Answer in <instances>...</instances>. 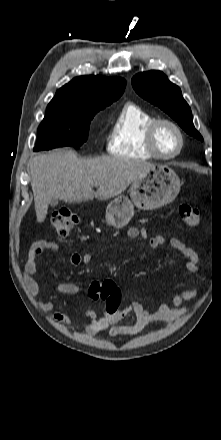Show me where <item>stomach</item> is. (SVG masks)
Wrapping results in <instances>:
<instances>
[{"instance_id": "stomach-1", "label": "stomach", "mask_w": 221, "mask_h": 440, "mask_svg": "<svg viewBox=\"0 0 221 440\" xmlns=\"http://www.w3.org/2000/svg\"><path fill=\"white\" fill-rule=\"evenodd\" d=\"M181 181L168 166H154L133 181L130 198L118 196L107 206L105 219L107 224L124 227L134 215V206L143 210H152L173 201L178 195Z\"/></svg>"}]
</instances>
